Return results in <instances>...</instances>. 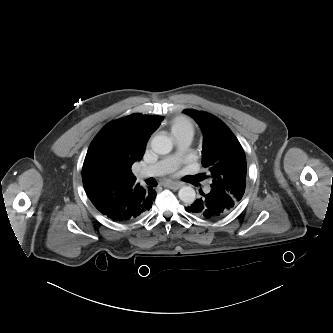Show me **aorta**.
Returning <instances> with one entry per match:
<instances>
[{"instance_id":"obj_1","label":"aorta","mask_w":333,"mask_h":333,"mask_svg":"<svg viewBox=\"0 0 333 333\" xmlns=\"http://www.w3.org/2000/svg\"><path fill=\"white\" fill-rule=\"evenodd\" d=\"M151 147L154 152L164 155L172 150L173 145L169 137L157 135L153 137ZM178 196L184 203L191 204L195 201L196 192L191 186H184L179 190Z\"/></svg>"}]
</instances>
